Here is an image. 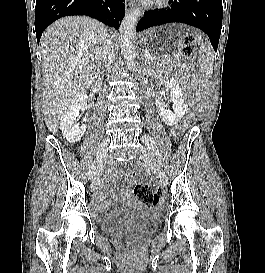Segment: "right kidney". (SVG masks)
<instances>
[{
    "instance_id": "ca27d5eb",
    "label": "right kidney",
    "mask_w": 265,
    "mask_h": 273,
    "mask_svg": "<svg viewBox=\"0 0 265 273\" xmlns=\"http://www.w3.org/2000/svg\"><path fill=\"white\" fill-rule=\"evenodd\" d=\"M87 95L85 93L80 94L63 112L60 119V129L63 136L70 143L78 142L86 131V125L83 124L81 127L76 124V117L79 115L81 108L87 104Z\"/></svg>"
}]
</instances>
